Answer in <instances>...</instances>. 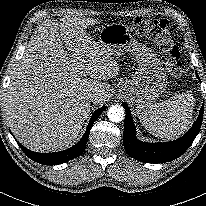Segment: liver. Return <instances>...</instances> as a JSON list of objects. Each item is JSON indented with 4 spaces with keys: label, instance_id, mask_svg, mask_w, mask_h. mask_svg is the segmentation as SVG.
I'll return each instance as SVG.
<instances>
[{
    "label": "liver",
    "instance_id": "6515ba94",
    "mask_svg": "<svg viewBox=\"0 0 206 206\" xmlns=\"http://www.w3.org/2000/svg\"><path fill=\"white\" fill-rule=\"evenodd\" d=\"M97 22L64 17L45 20L34 30L4 100L10 128L28 149L53 152L68 147L91 112L89 94L100 95L95 105L108 98L106 80L117 76L119 65L86 33Z\"/></svg>",
    "mask_w": 206,
    "mask_h": 206
}]
</instances>
